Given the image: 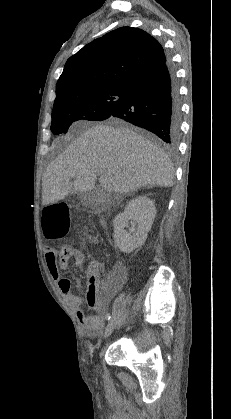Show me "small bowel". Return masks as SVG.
<instances>
[{"instance_id": "obj_1", "label": "small bowel", "mask_w": 231, "mask_h": 419, "mask_svg": "<svg viewBox=\"0 0 231 419\" xmlns=\"http://www.w3.org/2000/svg\"><path fill=\"white\" fill-rule=\"evenodd\" d=\"M47 268L51 277L57 282L58 287L70 307L76 312L77 319L81 324L83 334L88 338L97 337L103 329V319L99 316H88L82 309V299L74 295L71 291V281L62 275V271L67 268L68 261L74 260V264L82 267L85 264V254L71 246H65L60 251L53 248H47L45 251ZM91 277V275H90ZM124 278L119 273L116 278L117 282ZM90 279V278H89ZM87 303L91 308L101 310L102 304L97 294V284L93 287L90 285L86 294Z\"/></svg>"}]
</instances>
